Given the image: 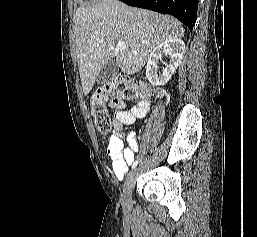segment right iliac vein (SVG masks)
<instances>
[{"label":"right iliac vein","instance_id":"obj_1","mask_svg":"<svg viewBox=\"0 0 257 237\" xmlns=\"http://www.w3.org/2000/svg\"><path fill=\"white\" fill-rule=\"evenodd\" d=\"M136 170L129 173L123 188V193L121 197V202L124 206H128L131 202L132 188L135 183Z\"/></svg>","mask_w":257,"mask_h":237}]
</instances>
